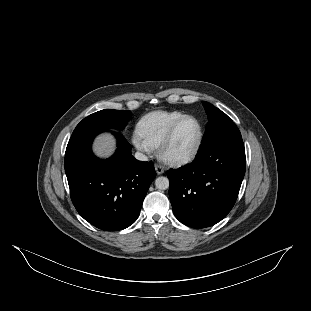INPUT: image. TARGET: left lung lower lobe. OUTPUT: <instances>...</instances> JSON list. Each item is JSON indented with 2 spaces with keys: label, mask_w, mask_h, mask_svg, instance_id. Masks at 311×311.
Here are the masks:
<instances>
[{
  "label": "left lung lower lobe",
  "mask_w": 311,
  "mask_h": 311,
  "mask_svg": "<svg viewBox=\"0 0 311 311\" xmlns=\"http://www.w3.org/2000/svg\"><path fill=\"white\" fill-rule=\"evenodd\" d=\"M245 167L243 140L235 135L198 150L191 164L168 170L169 196L176 218L193 228L221 221L236 202Z\"/></svg>",
  "instance_id": "left-lung-lower-lobe-1"
}]
</instances>
